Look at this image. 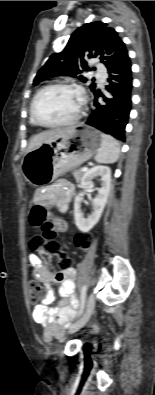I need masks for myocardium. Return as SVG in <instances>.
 <instances>
[{
	"label": "myocardium",
	"mask_w": 155,
	"mask_h": 395,
	"mask_svg": "<svg viewBox=\"0 0 155 395\" xmlns=\"http://www.w3.org/2000/svg\"><path fill=\"white\" fill-rule=\"evenodd\" d=\"M52 88H67V89L74 90L79 96V106H78V109L75 112V114L68 120L56 122V123H43L36 116L35 104H36L38 97L43 92H45L48 89H52ZM83 107H84V101H83V95H82L81 89L74 83L59 81V82L47 84V85L43 86L42 88H40L35 93V95L33 96L32 100H31V103H30V117H31V120L33 121V123L39 127H43V128L68 127V126L75 124L80 119L82 111H83Z\"/></svg>",
	"instance_id": "1"
}]
</instances>
